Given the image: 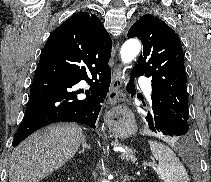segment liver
I'll return each instance as SVG.
<instances>
[{
    "label": "liver",
    "instance_id": "obj_1",
    "mask_svg": "<svg viewBox=\"0 0 211 182\" xmlns=\"http://www.w3.org/2000/svg\"><path fill=\"white\" fill-rule=\"evenodd\" d=\"M83 128L59 123L22 141L9 161V182H39L61 168L84 141Z\"/></svg>",
    "mask_w": 211,
    "mask_h": 182
}]
</instances>
